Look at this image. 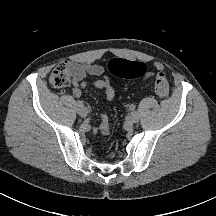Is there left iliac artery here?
Instances as JSON below:
<instances>
[{"mask_svg": "<svg viewBox=\"0 0 216 216\" xmlns=\"http://www.w3.org/2000/svg\"><path fill=\"white\" fill-rule=\"evenodd\" d=\"M135 108H136V106H135V105H133V104H131V105L129 106V109H130L131 111H134V110H135Z\"/></svg>", "mask_w": 216, "mask_h": 216, "instance_id": "obj_1", "label": "left iliac artery"}]
</instances>
